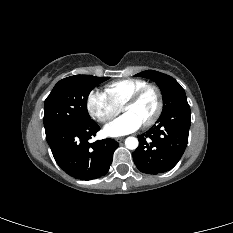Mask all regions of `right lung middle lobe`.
Masks as SVG:
<instances>
[{"instance_id":"1","label":"right lung middle lobe","mask_w":233,"mask_h":233,"mask_svg":"<svg viewBox=\"0 0 233 233\" xmlns=\"http://www.w3.org/2000/svg\"><path fill=\"white\" fill-rule=\"evenodd\" d=\"M109 77L74 75L60 80L44 104L45 132L89 121L87 98L91 90Z\"/></svg>"}]
</instances>
